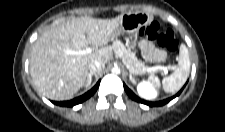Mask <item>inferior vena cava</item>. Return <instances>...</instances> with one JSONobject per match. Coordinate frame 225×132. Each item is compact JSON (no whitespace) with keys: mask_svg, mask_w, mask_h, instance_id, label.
I'll use <instances>...</instances> for the list:
<instances>
[{"mask_svg":"<svg viewBox=\"0 0 225 132\" xmlns=\"http://www.w3.org/2000/svg\"><path fill=\"white\" fill-rule=\"evenodd\" d=\"M105 67V64L99 60H92L89 65H88V69H89V74H95L98 72H101L102 69Z\"/></svg>","mask_w":225,"mask_h":132,"instance_id":"1","label":"inferior vena cava"}]
</instances>
